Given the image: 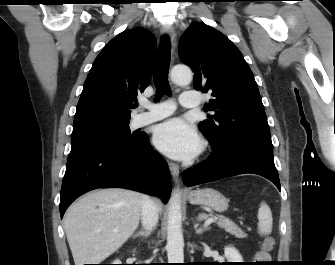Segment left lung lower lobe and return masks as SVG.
Here are the masks:
<instances>
[{
  "label": "left lung lower lobe",
  "instance_id": "0a47b994",
  "mask_svg": "<svg viewBox=\"0 0 335 265\" xmlns=\"http://www.w3.org/2000/svg\"><path fill=\"white\" fill-rule=\"evenodd\" d=\"M213 153L204 163L184 172V184L194 186L244 173L261 175L280 190L273 159V147L251 140L211 143Z\"/></svg>",
  "mask_w": 335,
  "mask_h": 265
}]
</instances>
